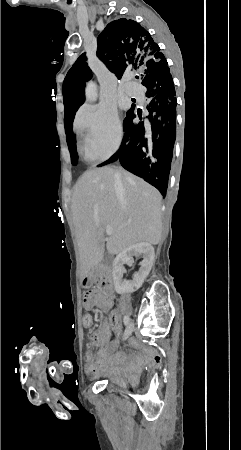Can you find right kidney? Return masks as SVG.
<instances>
[{"mask_svg": "<svg viewBox=\"0 0 241 450\" xmlns=\"http://www.w3.org/2000/svg\"><path fill=\"white\" fill-rule=\"evenodd\" d=\"M133 256H142L143 260L140 262V270L133 276V280H122L123 274L126 270L124 264H133ZM154 248L148 242H140L122 250L116 256L113 262V282L115 292L117 294H132L141 288L145 278H147L153 264H154Z\"/></svg>", "mask_w": 241, "mask_h": 450, "instance_id": "ca27d5eb", "label": "right kidney"}]
</instances>
